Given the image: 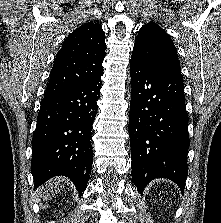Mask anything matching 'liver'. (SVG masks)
Returning a JSON list of instances; mask_svg holds the SVG:
<instances>
[{
  "label": "liver",
  "instance_id": "1",
  "mask_svg": "<svg viewBox=\"0 0 221 223\" xmlns=\"http://www.w3.org/2000/svg\"><path fill=\"white\" fill-rule=\"evenodd\" d=\"M64 181L65 180L60 177L51 179L44 186L39 188V190H37L38 196L43 198L44 200L51 199L55 195V193L59 191V188H62V186H64Z\"/></svg>",
  "mask_w": 221,
  "mask_h": 223
}]
</instances>
